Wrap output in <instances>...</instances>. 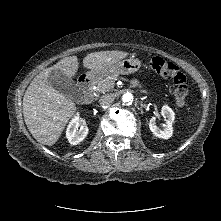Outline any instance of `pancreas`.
<instances>
[{"label":"pancreas","mask_w":221,"mask_h":221,"mask_svg":"<svg viewBox=\"0 0 221 221\" xmlns=\"http://www.w3.org/2000/svg\"><path fill=\"white\" fill-rule=\"evenodd\" d=\"M116 80H117V76L111 75L99 81L94 90V95H98L99 93H105V92L110 91L114 87Z\"/></svg>","instance_id":"obj_1"}]
</instances>
